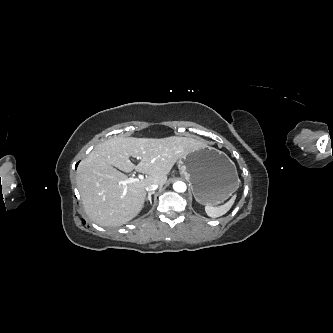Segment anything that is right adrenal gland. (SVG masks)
Listing matches in <instances>:
<instances>
[{
  "label": "right adrenal gland",
  "mask_w": 333,
  "mask_h": 333,
  "mask_svg": "<svg viewBox=\"0 0 333 333\" xmlns=\"http://www.w3.org/2000/svg\"><path fill=\"white\" fill-rule=\"evenodd\" d=\"M153 194H155V191L149 192V193H148V197H147V199H146V201H147V202L149 201V203H150L151 205H152V199H151V196H152Z\"/></svg>",
  "instance_id": "2a0ac1e0"
}]
</instances>
